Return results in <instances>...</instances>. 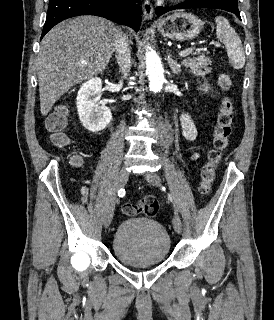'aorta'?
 <instances>
[{
    "mask_svg": "<svg viewBox=\"0 0 274 320\" xmlns=\"http://www.w3.org/2000/svg\"><path fill=\"white\" fill-rule=\"evenodd\" d=\"M146 52V74L149 78L150 91L158 93L162 90L164 79V69L161 60L156 52L148 47ZM159 130L164 136L168 135V130L164 124L159 125Z\"/></svg>",
    "mask_w": 274,
    "mask_h": 320,
    "instance_id": "aorta-1",
    "label": "aorta"
}]
</instances>
